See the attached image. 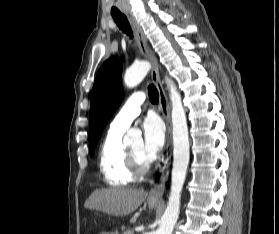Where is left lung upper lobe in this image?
Returning <instances> with one entry per match:
<instances>
[{
	"label": "left lung upper lobe",
	"instance_id": "obj_1",
	"mask_svg": "<svg viewBox=\"0 0 279 234\" xmlns=\"http://www.w3.org/2000/svg\"><path fill=\"white\" fill-rule=\"evenodd\" d=\"M122 63L114 56L103 63L98 71L91 93L89 119L90 155L105 128L107 121L114 114L123 98L121 86Z\"/></svg>",
	"mask_w": 279,
	"mask_h": 234
}]
</instances>
